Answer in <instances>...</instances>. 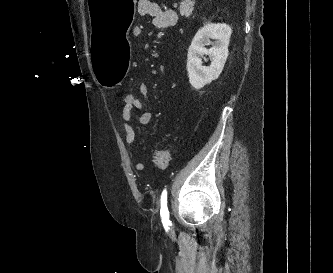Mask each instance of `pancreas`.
<instances>
[{"label":"pancreas","instance_id":"cf45deb5","mask_svg":"<svg viewBox=\"0 0 333 273\" xmlns=\"http://www.w3.org/2000/svg\"><path fill=\"white\" fill-rule=\"evenodd\" d=\"M193 6H194V0H184L180 7V15L189 17L193 11Z\"/></svg>","mask_w":333,"mask_h":273}]
</instances>
